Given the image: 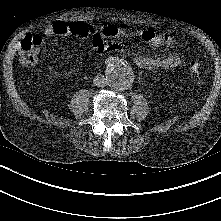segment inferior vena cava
Here are the masks:
<instances>
[{
  "label": "inferior vena cava",
  "instance_id": "602c4592",
  "mask_svg": "<svg viewBox=\"0 0 221 221\" xmlns=\"http://www.w3.org/2000/svg\"><path fill=\"white\" fill-rule=\"evenodd\" d=\"M93 83L98 87H104L107 83V80L105 79L104 75L99 73L94 77Z\"/></svg>",
  "mask_w": 221,
  "mask_h": 221
}]
</instances>
